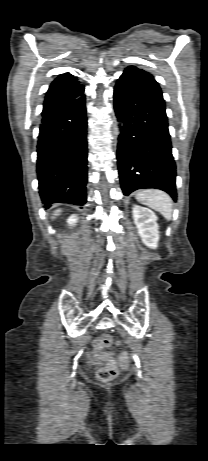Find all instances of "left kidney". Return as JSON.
Masks as SVG:
<instances>
[{"instance_id": "obj_1", "label": "left kidney", "mask_w": 208, "mask_h": 461, "mask_svg": "<svg viewBox=\"0 0 208 461\" xmlns=\"http://www.w3.org/2000/svg\"><path fill=\"white\" fill-rule=\"evenodd\" d=\"M134 223L142 242L151 249L158 246L159 231L156 214L149 208L134 205L132 209Z\"/></svg>"}]
</instances>
